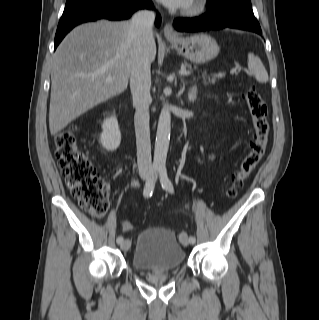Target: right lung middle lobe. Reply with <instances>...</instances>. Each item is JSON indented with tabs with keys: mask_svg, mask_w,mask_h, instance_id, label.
<instances>
[{
	"mask_svg": "<svg viewBox=\"0 0 319 320\" xmlns=\"http://www.w3.org/2000/svg\"><path fill=\"white\" fill-rule=\"evenodd\" d=\"M91 0H67L64 11L75 9Z\"/></svg>",
	"mask_w": 319,
	"mask_h": 320,
	"instance_id": "right-lung-middle-lobe-1",
	"label": "right lung middle lobe"
}]
</instances>
